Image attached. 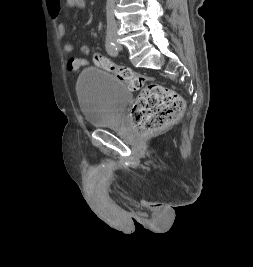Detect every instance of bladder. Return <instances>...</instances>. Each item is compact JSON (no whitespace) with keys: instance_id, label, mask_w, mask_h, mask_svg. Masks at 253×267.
Listing matches in <instances>:
<instances>
[{"instance_id":"obj_1","label":"bladder","mask_w":253,"mask_h":267,"mask_svg":"<svg viewBox=\"0 0 253 267\" xmlns=\"http://www.w3.org/2000/svg\"><path fill=\"white\" fill-rule=\"evenodd\" d=\"M77 94L84 120L91 127L113 124L132 98V90L125 82L96 68L81 72Z\"/></svg>"}]
</instances>
